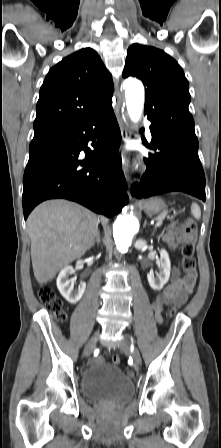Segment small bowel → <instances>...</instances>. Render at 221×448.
<instances>
[{
    "label": "small bowel",
    "mask_w": 221,
    "mask_h": 448,
    "mask_svg": "<svg viewBox=\"0 0 221 448\" xmlns=\"http://www.w3.org/2000/svg\"><path fill=\"white\" fill-rule=\"evenodd\" d=\"M162 239L171 249H176L186 240V237L175 225H171L162 236ZM172 276V282L151 302V310L158 322L162 321V313L165 306L170 304L183 305L196 285V272L191 274L184 273L181 276L179 269L174 268Z\"/></svg>",
    "instance_id": "obj_1"
}]
</instances>
